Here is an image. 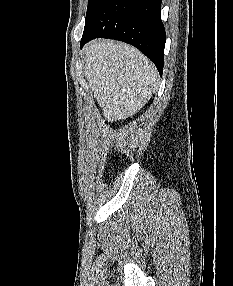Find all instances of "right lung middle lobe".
I'll list each match as a JSON object with an SVG mask.
<instances>
[{"mask_svg": "<svg viewBox=\"0 0 233 286\" xmlns=\"http://www.w3.org/2000/svg\"><path fill=\"white\" fill-rule=\"evenodd\" d=\"M101 0H88V8L86 18L91 14V12L97 7Z\"/></svg>", "mask_w": 233, "mask_h": 286, "instance_id": "right-lung-middle-lobe-1", "label": "right lung middle lobe"}]
</instances>
